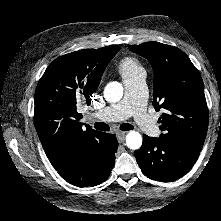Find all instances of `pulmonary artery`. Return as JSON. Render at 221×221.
<instances>
[{
  "label": "pulmonary artery",
  "mask_w": 221,
  "mask_h": 221,
  "mask_svg": "<svg viewBox=\"0 0 221 221\" xmlns=\"http://www.w3.org/2000/svg\"><path fill=\"white\" fill-rule=\"evenodd\" d=\"M145 76V72H141L132 79H124L125 94L123 99L116 104L89 114L88 118L111 122L132 117L133 122L142 131L152 136L157 135L158 125L144 109L147 99Z\"/></svg>",
  "instance_id": "pulmonary-artery-1"
}]
</instances>
